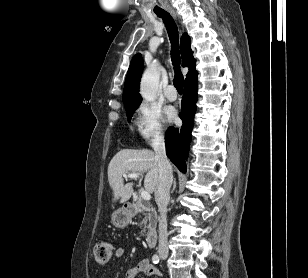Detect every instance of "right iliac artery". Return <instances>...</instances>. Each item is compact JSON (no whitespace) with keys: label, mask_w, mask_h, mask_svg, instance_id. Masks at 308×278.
Here are the masks:
<instances>
[{"label":"right iliac artery","mask_w":308,"mask_h":278,"mask_svg":"<svg viewBox=\"0 0 308 278\" xmlns=\"http://www.w3.org/2000/svg\"><path fill=\"white\" fill-rule=\"evenodd\" d=\"M152 261H153L154 264H158L159 261H160L159 256L157 254L153 255Z\"/></svg>","instance_id":"obj_1"}]
</instances>
